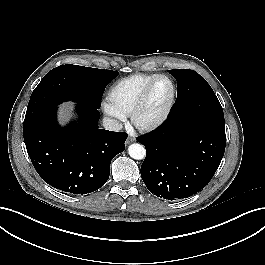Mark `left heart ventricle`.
<instances>
[{"label": "left heart ventricle", "mask_w": 265, "mask_h": 265, "mask_svg": "<svg viewBox=\"0 0 265 265\" xmlns=\"http://www.w3.org/2000/svg\"><path fill=\"white\" fill-rule=\"evenodd\" d=\"M171 91V84L167 79L158 80L151 92L142 118L144 120H151L159 116L170 99Z\"/></svg>", "instance_id": "b2bd125f"}]
</instances>
